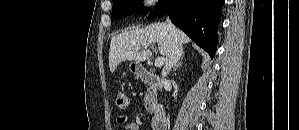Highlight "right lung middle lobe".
I'll return each mask as SVG.
<instances>
[{"instance_id":"1","label":"right lung middle lobe","mask_w":299,"mask_h":130,"mask_svg":"<svg viewBox=\"0 0 299 130\" xmlns=\"http://www.w3.org/2000/svg\"><path fill=\"white\" fill-rule=\"evenodd\" d=\"M143 0H115L112 7V21L122 19L133 13L146 15L149 11L143 6Z\"/></svg>"}]
</instances>
